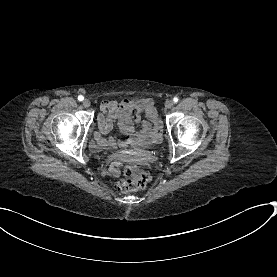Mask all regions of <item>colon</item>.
<instances>
[{"instance_id":"5ec220e1","label":"colon","mask_w":277,"mask_h":277,"mask_svg":"<svg viewBox=\"0 0 277 277\" xmlns=\"http://www.w3.org/2000/svg\"><path fill=\"white\" fill-rule=\"evenodd\" d=\"M120 173L124 179L116 182L115 187L122 193H129L142 188L150 189L157 182L153 173L131 163L124 164Z\"/></svg>"}]
</instances>
